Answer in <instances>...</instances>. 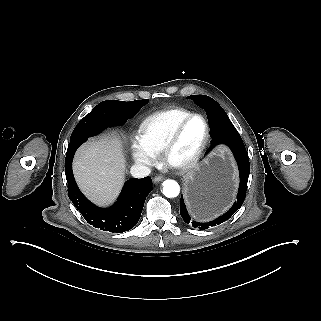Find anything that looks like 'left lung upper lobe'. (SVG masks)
<instances>
[{"mask_svg":"<svg viewBox=\"0 0 321 321\" xmlns=\"http://www.w3.org/2000/svg\"><path fill=\"white\" fill-rule=\"evenodd\" d=\"M190 99H193L198 106L203 108L206 112L209 110H218L224 114L226 117L225 127H232L234 126L230 119L228 118L225 111L222 107L212 98L205 96V95H191L189 96Z\"/></svg>","mask_w":321,"mask_h":321,"instance_id":"1","label":"left lung upper lobe"}]
</instances>
